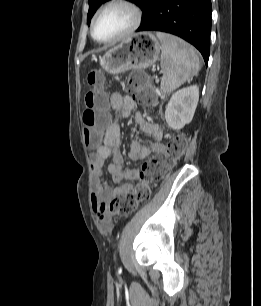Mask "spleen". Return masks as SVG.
<instances>
[{
    "label": "spleen",
    "mask_w": 261,
    "mask_h": 306,
    "mask_svg": "<svg viewBox=\"0 0 261 306\" xmlns=\"http://www.w3.org/2000/svg\"><path fill=\"white\" fill-rule=\"evenodd\" d=\"M156 35L162 50L161 91L168 94L197 75L200 62L194 48L182 39L162 32H157Z\"/></svg>",
    "instance_id": "obj_1"
}]
</instances>
